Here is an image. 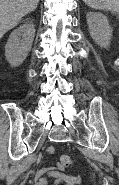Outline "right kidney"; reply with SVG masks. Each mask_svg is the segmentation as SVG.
Listing matches in <instances>:
<instances>
[{
  "instance_id": "right-kidney-1",
  "label": "right kidney",
  "mask_w": 119,
  "mask_h": 185,
  "mask_svg": "<svg viewBox=\"0 0 119 185\" xmlns=\"http://www.w3.org/2000/svg\"><path fill=\"white\" fill-rule=\"evenodd\" d=\"M35 36L33 23L27 22L15 29L5 46V57L12 67L19 66L31 50Z\"/></svg>"
}]
</instances>
